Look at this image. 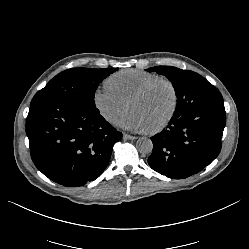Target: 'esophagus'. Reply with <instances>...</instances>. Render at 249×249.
Instances as JSON below:
<instances>
[{
	"label": "esophagus",
	"mask_w": 249,
	"mask_h": 249,
	"mask_svg": "<svg viewBox=\"0 0 249 249\" xmlns=\"http://www.w3.org/2000/svg\"><path fill=\"white\" fill-rule=\"evenodd\" d=\"M123 138L126 140H135L137 137L136 136H131L128 134H123Z\"/></svg>",
	"instance_id": "obj_1"
}]
</instances>
